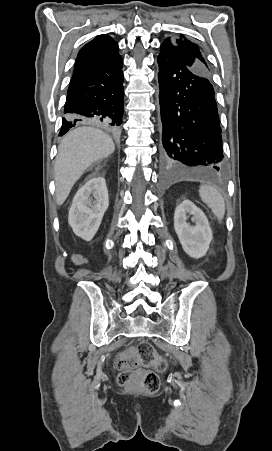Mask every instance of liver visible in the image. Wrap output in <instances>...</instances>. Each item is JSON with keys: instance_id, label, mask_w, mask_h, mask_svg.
Listing matches in <instances>:
<instances>
[{"instance_id": "obj_1", "label": "liver", "mask_w": 272, "mask_h": 451, "mask_svg": "<svg viewBox=\"0 0 272 451\" xmlns=\"http://www.w3.org/2000/svg\"><path fill=\"white\" fill-rule=\"evenodd\" d=\"M115 144L108 134L92 128L81 126L68 132L58 146V154L54 166L56 186V202L64 204L75 182L92 162L108 158L113 154Z\"/></svg>"}]
</instances>
